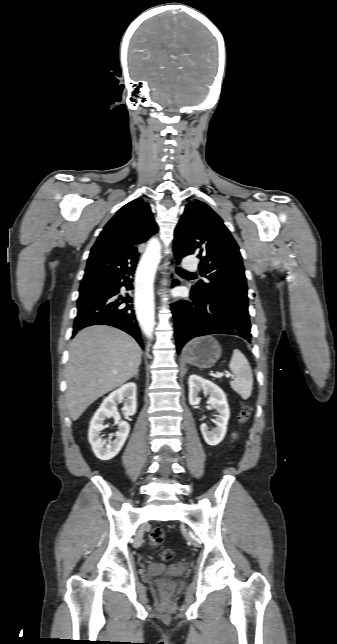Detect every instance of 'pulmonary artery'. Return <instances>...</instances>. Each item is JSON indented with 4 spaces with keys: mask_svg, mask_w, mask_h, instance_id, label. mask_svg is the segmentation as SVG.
Instances as JSON below:
<instances>
[{
    "mask_svg": "<svg viewBox=\"0 0 337 644\" xmlns=\"http://www.w3.org/2000/svg\"><path fill=\"white\" fill-rule=\"evenodd\" d=\"M183 267H184V269H186L188 271H196L197 270V262L193 257L188 256V257L184 258V260H183Z\"/></svg>",
    "mask_w": 337,
    "mask_h": 644,
    "instance_id": "pulmonary-artery-1",
    "label": "pulmonary artery"
}]
</instances>
